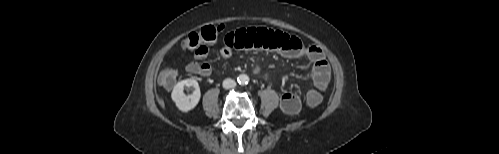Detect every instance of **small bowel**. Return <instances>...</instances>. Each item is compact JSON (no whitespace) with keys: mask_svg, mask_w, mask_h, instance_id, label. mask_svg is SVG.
Instances as JSON below:
<instances>
[{"mask_svg":"<svg viewBox=\"0 0 499 154\" xmlns=\"http://www.w3.org/2000/svg\"><path fill=\"white\" fill-rule=\"evenodd\" d=\"M260 49L275 51L288 59L307 60L312 64V79L314 86L324 91L329 84L331 68L323 51L314 45L306 46L302 41L281 31L264 27L241 28L228 33L224 38V45L220 50L223 59L232 56L235 50ZM209 54V47L202 44L194 52L195 61L186 66L189 74L208 77L212 68L208 63H200ZM260 70L256 63L255 71ZM301 100L298 95L286 92L280 98L281 110L289 115L298 113L301 109Z\"/></svg>","mask_w":499,"mask_h":154,"instance_id":"c3829d8e","label":"small bowel"}]
</instances>
